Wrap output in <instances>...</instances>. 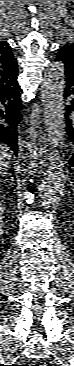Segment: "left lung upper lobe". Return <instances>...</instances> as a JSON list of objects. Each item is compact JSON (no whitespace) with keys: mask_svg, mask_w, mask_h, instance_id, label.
<instances>
[{"mask_svg":"<svg viewBox=\"0 0 74 366\" xmlns=\"http://www.w3.org/2000/svg\"><path fill=\"white\" fill-rule=\"evenodd\" d=\"M56 60L62 61L65 67L74 70V44H66L60 48Z\"/></svg>","mask_w":74,"mask_h":366,"instance_id":"left-lung-upper-lobe-1","label":"left lung upper lobe"}]
</instances>
